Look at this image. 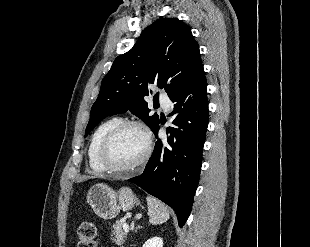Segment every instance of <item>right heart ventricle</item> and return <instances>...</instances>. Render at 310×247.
<instances>
[{
	"label": "right heart ventricle",
	"instance_id": "obj_1",
	"mask_svg": "<svg viewBox=\"0 0 310 247\" xmlns=\"http://www.w3.org/2000/svg\"><path fill=\"white\" fill-rule=\"evenodd\" d=\"M119 117H112L102 122L93 132L88 146V161L91 169L96 173H104L105 169L98 160V150L106 134L118 123Z\"/></svg>",
	"mask_w": 310,
	"mask_h": 247
}]
</instances>
